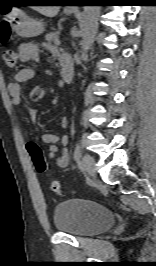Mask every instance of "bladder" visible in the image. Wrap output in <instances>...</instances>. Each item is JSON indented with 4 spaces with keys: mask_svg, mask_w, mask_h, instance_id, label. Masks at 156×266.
Here are the masks:
<instances>
[{
    "mask_svg": "<svg viewBox=\"0 0 156 266\" xmlns=\"http://www.w3.org/2000/svg\"><path fill=\"white\" fill-rule=\"evenodd\" d=\"M53 221L59 232L75 237H86L110 228L114 223V216L100 203L70 199L56 205Z\"/></svg>",
    "mask_w": 156,
    "mask_h": 266,
    "instance_id": "31cf9c89",
    "label": "bladder"
}]
</instances>
